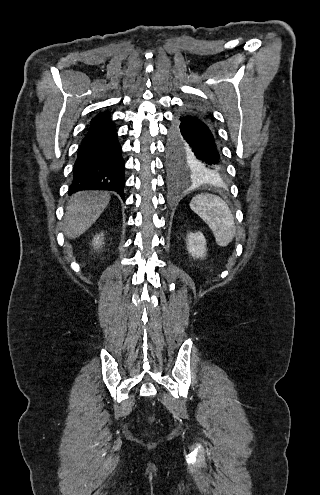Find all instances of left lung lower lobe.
<instances>
[{"label": "left lung lower lobe", "mask_w": 320, "mask_h": 495, "mask_svg": "<svg viewBox=\"0 0 320 495\" xmlns=\"http://www.w3.org/2000/svg\"><path fill=\"white\" fill-rule=\"evenodd\" d=\"M178 125L183 135L198 152L208 169L209 177H216L226 172V164L217 143L214 127L207 115L186 109L175 116L172 128Z\"/></svg>", "instance_id": "1"}]
</instances>
